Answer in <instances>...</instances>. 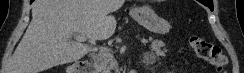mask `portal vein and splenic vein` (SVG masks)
Wrapping results in <instances>:
<instances>
[{"label":"portal vein and splenic vein","instance_id":"portal-vein-and-splenic-vein-1","mask_svg":"<svg viewBox=\"0 0 244 73\" xmlns=\"http://www.w3.org/2000/svg\"><path fill=\"white\" fill-rule=\"evenodd\" d=\"M75 38L81 42H85L87 40V37L85 35H82V34H76L75 35ZM142 43H148V40L147 39H142L141 40ZM101 51H106L107 49L106 48H100Z\"/></svg>","mask_w":244,"mask_h":73}]
</instances>
